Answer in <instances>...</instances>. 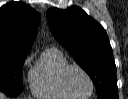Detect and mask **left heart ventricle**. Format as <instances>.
Here are the masks:
<instances>
[{
    "mask_svg": "<svg viewBox=\"0 0 128 99\" xmlns=\"http://www.w3.org/2000/svg\"><path fill=\"white\" fill-rule=\"evenodd\" d=\"M69 90L77 96H86L90 91V85L86 76L78 69H71L66 77Z\"/></svg>",
    "mask_w": 128,
    "mask_h": 99,
    "instance_id": "1",
    "label": "left heart ventricle"
}]
</instances>
